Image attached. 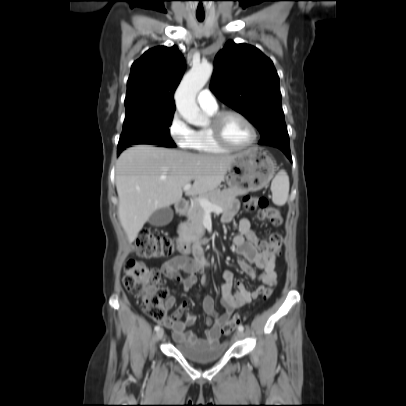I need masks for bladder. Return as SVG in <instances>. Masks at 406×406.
Instances as JSON below:
<instances>
[{
  "mask_svg": "<svg viewBox=\"0 0 406 406\" xmlns=\"http://www.w3.org/2000/svg\"><path fill=\"white\" fill-rule=\"evenodd\" d=\"M176 347L182 356L196 363L213 362L220 359L226 353V346L219 344L196 347L176 342Z\"/></svg>",
  "mask_w": 406,
  "mask_h": 406,
  "instance_id": "obj_1",
  "label": "bladder"
}]
</instances>
